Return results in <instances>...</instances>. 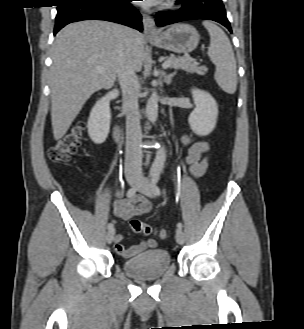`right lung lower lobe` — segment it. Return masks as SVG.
<instances>
[{
  "label": "right lung lower lobe",
  "instance_id": "98d812e1",
  "mask_svg": "<svg viewBox=\"0 0 304 329\" xmlns=\"http://www.w3.org/2000/svg\"><path fill=\"white\" fill-rule=\"evenodd\" d=\"M132 0H73L60 3L54 35L65 25L82 20H107L142 32V18L130 4Z\"/></svg>",
  "mask_w": 304,
  "mask_h": 329
}]
</instances>
